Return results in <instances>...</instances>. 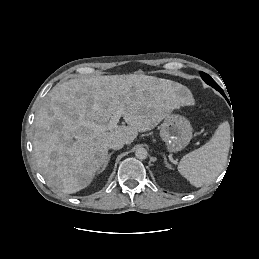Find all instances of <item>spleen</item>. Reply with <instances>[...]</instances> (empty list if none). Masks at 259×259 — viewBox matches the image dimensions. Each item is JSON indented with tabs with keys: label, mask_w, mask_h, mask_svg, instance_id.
Listing matches in <instances>:
<instances>
[{
	"label": "spleen",
	"mask_w": 259,
	"mask_h": 259,
	"mask_svg": "<svg viewBox=\"0 0 259 259\" xmlns=\"http://www.w3.org/2000/svg\"><path fill=\"white\" fill-rule=\"evenodd\" d=\"M230 133L229 123H221L209 142L181 159L180 174L195 187L214 181L227 164Z\"/></svg>",
	"instance_id": "3e777b00"
}]
</instances>
